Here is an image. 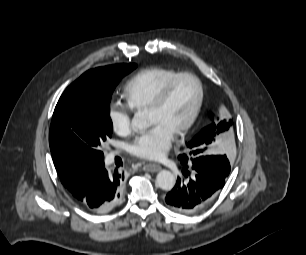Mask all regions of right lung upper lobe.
Instances as JSON below:
<instances>
[{
  "label": "right lung upper lobe",
  "mask_w": 306,
  "mask_h": 255,
  "mask_svg": "<svg viewBox=\"0 0 306 255\" xmlns=\"http://www.w3.org/2000/svg\"><path fill=\"white\" fill-rule=\"evenodd\" d=\"M113 66V65H112ZM111 74V66L99 67L85 72L78 81H98L106 79ZM69 191L73 189V186L66 187Z\"/></svg>",
  "instance_id": "right-lung-upper-lobe-1"
}]
</instances>
